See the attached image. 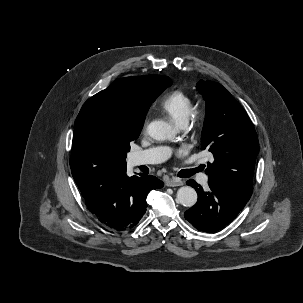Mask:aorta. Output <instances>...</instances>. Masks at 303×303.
<instances>
[{
  "label": "aorta",
  "instance_id": "obj_1",
  "mask_svg": "<svg viewBox=\"0 0 303 303\" xmlns=\"http://www.w3.org/2000/svg\"><path fill=\"white\" fill-rule=\"evenodd\" d=\"M147 129L150 137L157 141L170 140L175 136V131L172 126L164 121H152ZM197 198V192L190 186L180 187L177 191V202L185 207L194 206L197 202Z\"/></svg>",
  "mask_w": 303,
  "mask_h": 303
}]
</instances>
